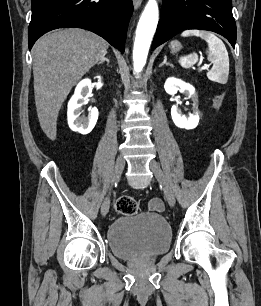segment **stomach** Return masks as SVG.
I'll list each match as a JSON object with an SVG mask.
<instances>
[{"mask_svg":"<svg viewBox=\"0 0 261 306\" xmlns=\"http://www.w3.org/2000/svg\"><path fill=\"white\" fill-rule=\"evenodd\" d=\"M169 46L172 52H177L181 48V44L178 41H172Z\"/></svg>","mask_w":261,"mask_h":306,"instance_id":"0dacf381","label":"stomach"}]
</instances>
